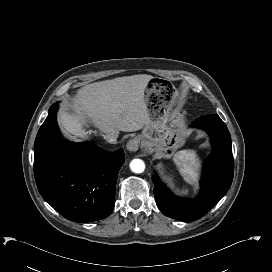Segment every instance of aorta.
<instances>
[{
  "mask_svg": "<svg viewBox=\"0 0 272 272\" xmlns=\"http://www.w3.org/2000/svg\"><path fill=\"white\" fill-rule=\"evenodd\" d=\"M130 168L134 173H142L145 170V164L140 159H134L130 163Z\"/></svg>",
  "mask_w": 272,
  "mask_h": 272,
  "instance_id": "762f6f07",
  "label": "aorta"
}]
</instances>
